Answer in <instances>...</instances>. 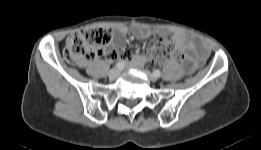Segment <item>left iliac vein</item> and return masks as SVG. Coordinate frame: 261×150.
<instances>
[{"label":"left iliac vein","mask_w":261,"mask_h":150,"mask_svg":"<svg viewBox=\"0 0 261 150\" xmlns=\"http://www.w3.org/2000/svg\"><path fill=\"white\" fill-rule=\"evenodd\" d=\"M144 74L148 77L149 80L151 81H156L157 77H155L150 71L148 70H143Z\"/></svg>","instance_id":"1"}]
</instances>
